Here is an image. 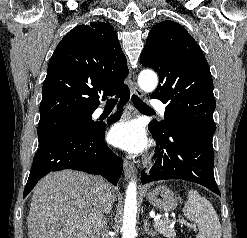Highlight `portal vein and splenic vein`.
<instances>
[{"label": "portal vein and splenic vein", "instance_id": "portal-vein-and-splenic-vein-1", "mask_svg": "<svg viewBox=\"0 0 247 238\" xmlns=\"http://www.w3.org/2000/svg\"><path fill=\"white\" fill-rule=\"evenodd\" d=\"M154 223H158V220H155Z\"/></svg>", "mask_w": 247, "mask_h": 238}]
</instances>
